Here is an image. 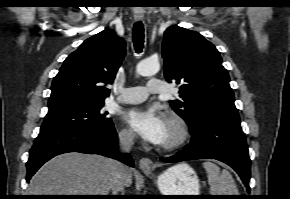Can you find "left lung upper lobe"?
Returning <instances> with one entry per match:
<instances>
[{
  "instance_id": "left-lung-upper-lobe-1",
  "label": "left lung upper lobe",
  "mask_w": 290,
  "mask_h": 199,
  "mask_svg": "<svg viewBox=\"0 0 290 199\" xmlns=\"http://www.w3.org/2000/svg\"><path fill=\"white\" fill-rule=\"evenodd\" d=\"M164 75L180 84L172 109L188 124L202 118L240 123L229 75L216 47L196 31L171 26L162 45Z\"/></svg>"
}]
</instances>
